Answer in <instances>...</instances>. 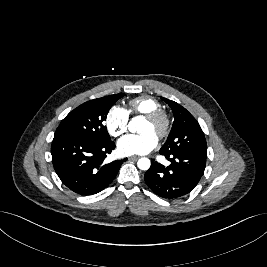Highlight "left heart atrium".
Masks as SVG:
<instances>
[{
	"label": "left heart atrium",
	"mask_w": 267,
	"mask_h": 267,
	"mask_svg": "<svg viewBox=\"0 0 267 267\" xmlns=\"http://www.w3.org/2000/svg\"><path fill=\"white\" fill-rule=\"evenodd\" d=\"M158 143L152 133L128 134L117 143L118 152L122 155H143L153 150Z\"/></svg>",
	"instance_id": "39dd6f15"
}]
</instances>
